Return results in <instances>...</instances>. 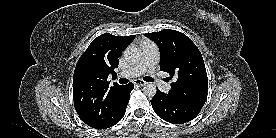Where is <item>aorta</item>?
I'll return each mask as SVG.
<instances>
[{
	"label": "aorta",
	"instance_id": "762f6f07",
	"mask_svg": "<svg viewBox=\"0 0 276 138\" xmlns=\"http://www.w3.org/2000/svg\"><path fill=\"white\" fill-rule=\"evenodd\" d=\"M141 51L133 46H129L124 51V58L130 64H136L141 60ZM143 92L148 97H154L156 95L157 89L155 84L148 83L143 87Z\"/></svg>",
	"mask_w": 276,
	"mask_h": 138
}]
</instances>
